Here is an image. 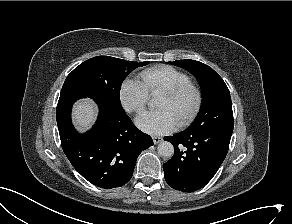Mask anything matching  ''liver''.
<instances>
[{
  "mask_svg": "<svg viewBox=\"0 0 292 224\" xmlns=\"http://www.w3.org/2000/svg\"><path fill=\"white\" fill-rule=\"evenodd\" d=\"M96 109L90 100H83L75 104L73 109L74 123L79 130L88 129L94 122Z\"/></svg>",
  "mask_w": 292,
  "mask_h": 224,
  "instance_id": "6515ba94",
  "label": "liver"
}]
</instances>
